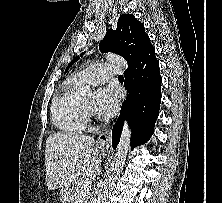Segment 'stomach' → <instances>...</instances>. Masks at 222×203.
<instances>
[{"mask_svg":"<svg viewBox=\"0 0 222 203\" xmlns=\"http://www.w3.org/2000/svg\"><path fill=\"white\" fill-rule=\"evenodd\" d=\"M63 198H65V200H66L65 203H67V200H68L69 197L68 196H63Z\"/></svg>","mask_w":222,"mask_h":203,"instance_id":"1","label":"stomach"}]
</instances>
